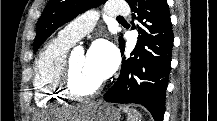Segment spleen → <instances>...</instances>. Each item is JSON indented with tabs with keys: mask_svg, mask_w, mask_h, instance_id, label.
I'll return each mask as SVG.
<instances>
[{
	"mask_svg": "<svg viewBox=\"0 0 217 121\" xmlns=\"http://www.w3.org/2000/svg\"><path fill=\"white\" fill-rule=\"evenodd\" d=\"M123 111L127 114V121H141V114L133 108L123 107Z\"/></svg>",
	"mask_w": 217,
	"mask_h": 121,
	"instance_id": "3e777b00",
	"label": "spleen"
}]
</instances>
